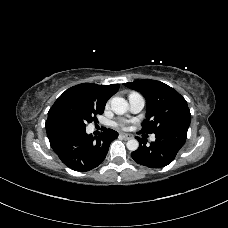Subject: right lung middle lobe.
I'll list each match as a JSON object with an SVG mask.
<instances>
[{
  "mask_svg": "<svg viewBox=\"0 0 228 228\" xmlns=\"http://www.w3.org/2000/svg\"><path fill=\"white\" fill-rule=\"evenodd\" d=\"M104 108L78 95L62 94L50 108L46 125L62 124L85 129L87 123L97 121L96 115H101Z\"/></svg>",
  "mask_w": 228,
  "mask_h": 228,
  "instance_id": "obj_1",
  "label": "right lung middle lobe"
}]
</instances>
